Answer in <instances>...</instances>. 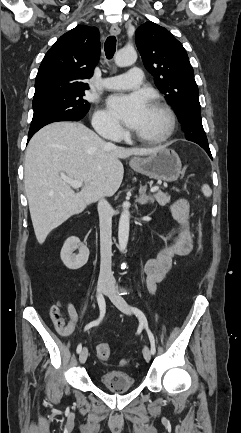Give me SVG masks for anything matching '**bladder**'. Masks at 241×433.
Here are the masks:
<instances>
[{"label":"bladder","instance_id":"1","mask_svg":"<svg viewBox=\"0 0 241 433\" xmlns=\"http://www.w3.org/2000/svg\"><path fill=\"white\" fill-rule=\"evenodd\" d=\"M100 383L111 392H123L135 387V379L123 371H108L101 374Z\"/></svg>","mask_w":241,"mask_h":433}]
</instances>
